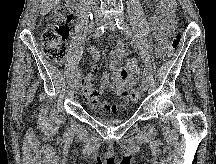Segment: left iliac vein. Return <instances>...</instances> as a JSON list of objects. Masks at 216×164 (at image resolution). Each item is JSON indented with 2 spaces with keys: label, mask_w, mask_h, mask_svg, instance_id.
Here are the masks:
<instances>
[{
  "label": "left iliac vein",
  "mask_w": 216,
  "mask_h": 164,
  "mask_svg": "<svg viewBox=\"0 0 216 164\" xmlns=\"http://www.w3.org/2000/svg\"><path fill=\"white\" fill-rule=\"evenodd\" d=\"M105 26L107 27V28H109L110 30H112V31H116L117 30V27H116V25L114 24V22H112V21H110V20H105ZM148 86H149V82H148V79L146 78V77H144L143 79H142V88H143V90L144 91H147V89H148Z\"/></svg>",
  "instance_id": "4c4485c4"
}]
</instances>
